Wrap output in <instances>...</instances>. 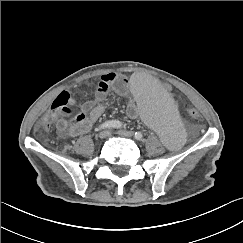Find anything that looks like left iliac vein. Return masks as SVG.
Segmentation results:
<instances>
[{
    "instance_id": "obj_1",
    "label": "left iliac vein",
    "mask_w": 243,
    "mask_h": 243,
    "mask_svg": "<svg viewBox=\"0 0 243 243\" xmlns=\"http://www.w3.org/2000/svg\"><path fill=\"white\" fill-rule=\"evenodd\" d=\"M117 134H119L120 136H123V137H128V138L133 136L132 132L126 131V130H122V129L118 130Z\"/></svg>"
}]
</instances>
